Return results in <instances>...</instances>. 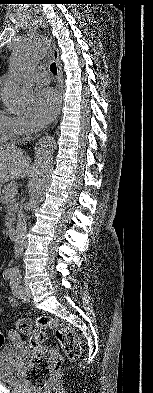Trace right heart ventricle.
Segmentation results:
<instances>
[{"instance_id": "1", "label": "right heart ventricle", "mask_w": 153, "mask_h": 393, "mask_svg": "<svg viewBox=\"0 0 153 393\" xmlns=\"http://www.w3.org/2000/svg\"><path fill=\"white\" fill-rule=\"evenodd\" d=\"M16 137V117L0 111V142H7Z\"/></svg>"}]
</instances>
